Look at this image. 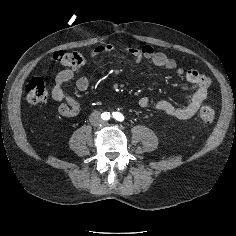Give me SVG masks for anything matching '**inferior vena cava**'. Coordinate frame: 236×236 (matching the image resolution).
Listing matches in <instances>:
<instances>
[{
    "label": "inferior vena cava",
    "instance_id": "inferior-vena-cava-1",
    "mask_svg": "<svg viewBox=\"0 0 236 236\" xmlns=\"http://www.w3.org/2000/svg\"><path fill=\"white\" fill-rule=\"evenodd\" d=\"M101 122H102V120L100 118V112L94 111L93 113H91V115H90V123L92 125H98Z\"/></svg>",
    "mask_w": 236,
    "mask_h": 236
}]
</instances>
